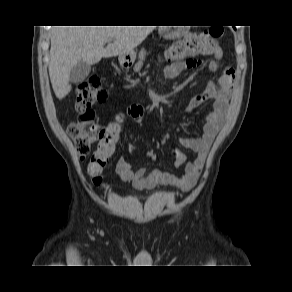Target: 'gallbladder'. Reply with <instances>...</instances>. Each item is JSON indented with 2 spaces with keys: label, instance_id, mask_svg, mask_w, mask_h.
Here are the masks:
<instances>
[{
  "label": "gallbladder",
  "instance_id": "obj_1",
  "mask_svg": "<svg viewBox=\"0 0 292 292\" xmlns=\"http://www.w3.org/2000/svg\"><path fill=\"white\" fill-rule=\"evenodd\" d=\"M91 71V65L83 61L78 62L70 71L69 80L71 83H79L86 79Z\"/></svg>",
  "mask_w": 292,
  "mask_h": 292
}]
</instances>
